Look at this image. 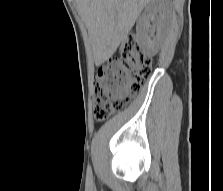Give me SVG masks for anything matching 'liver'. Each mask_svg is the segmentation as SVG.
Here are the masks:
<instances>
[{
	"label": "liver",
	"mask_w": 223,
	"mask_h": 191,
	"mask_svg": "<svg viewBox=\"0 0 223 191\" xmlns=\"http://www.w3.org/2000/svg\"><path fill=\"white\" fill-rule=\"evenodd\" d=\"M151 0H76L85 21L97 66L106 62L128 36Z\"/></svg>",
	"instance_id": "6515ba94"
}]
</instances>
